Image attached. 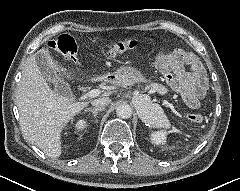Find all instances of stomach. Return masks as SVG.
I'll use <instances>...</instances> for the list:
<instances>
[{
    "mask_svg": "<svg viewBox=\"0 0 240 191\" xmlns=\"http://www.w3.org/2000/svg\"><path fill=\"white\" fill-rule=\"evenodd\" d=\"M106 79L111 82L121 84L123 86L133 85L135 83L146 82L147 80L136 68L124 66L119 68L115 73L106 75ZM138 109L141 115L144 113L145 108L138 104Z\"/></svg>",
    "mask_w": 240,
    "mask_h": 191,
    "instance_id": "1",
    "label": "stomach"
}]
</instances>
